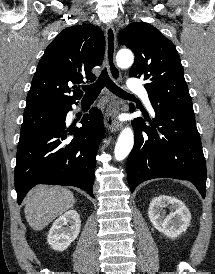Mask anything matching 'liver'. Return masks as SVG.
I'll return each instance as SVG.
<instances>
[{
  "label": "liver",
  "mask_w": 215,
  "mask_h": 274,
  "mask_svg": "<svg viewBox=\"0 0 215 274\" xmlns=\"http://www.w3.org/2000/svg\"><path fill=\"white\" fill-rule=\"evenodd\" d=\"M25 202L26 220L32 229L39 231L73 207L75 199L67 188L38 185L28 193Z\"/></svg>",
  "instance_id": "obj_1"
}]
</instances>
